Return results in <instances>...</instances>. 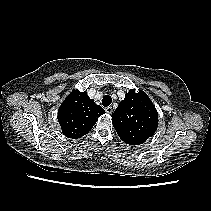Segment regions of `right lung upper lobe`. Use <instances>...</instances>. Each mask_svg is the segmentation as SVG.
Instances as JSON below:
<instances>
[{
    "mask_svg": "<svg viewBox=\"0 0 211 211\" xmlns=\"http://www.w3.org/2000/svg\"><path fill=\"white\" fill-rule=\"evenodd\" d=\"M105 110L89 98L87 92L73 90L58 110V122L63 134L77 139L89 133Z\"/></svg>",
    "mask_w": 211,
    "mask_h": 211,
    "instance_id": "right-lung-upper-lobe-1",
    "label": "right lung upper lobe"
}]
</instances>
